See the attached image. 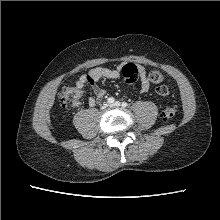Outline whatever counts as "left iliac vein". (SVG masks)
Here are the masks:
<instances>
[{"mask_svg": "<svg viewBox=\"0 0 220 220\" xmlns=\"http://www.w3.org/2000/svg\"><path fill=\"white\" fill-rule=\"evenodd\" d=\"M111 106L113 107H120L121 103L119 101H116L115 103H113Z\"/></svg>", "mask_w": 220, "mask_h": 220, "instance_id": "1", "label": "left iliac vein"}]
</instances>
